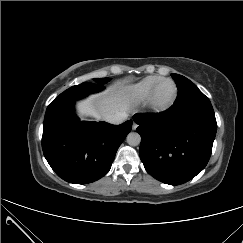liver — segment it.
I'll return each mask as SVG.
<instances>
[{"mask_svg": "<svg viewBox=\"0 0 243 243\" xmlns=\"http://www.w3.org/2000/svg\"><path fill=\"white\" fill-rule=\"evenodd\" d=\"M117 82L110 86L106 92L90 95L87 99L77 103L80 116H94L105 120V117L127 109V94L124 84Z\"/></svg>", "mask_w": 243, "mask_h": 243, "instance_id": "obj_1", "label": "liver"}]
</instances>
